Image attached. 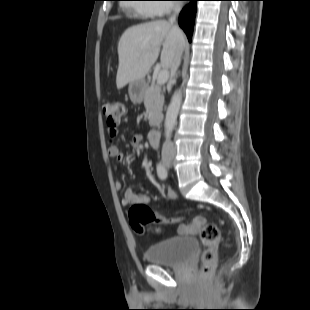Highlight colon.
<instances>
[{"instance_id": "1", "label": "colon", "mask_w": 310, "mask_h": 310, "mask_svg": "<svg viewBox=\"0 0 310 310\" xmlns=\"http://www.w3.org/2000/svg\"><path fill=\"white\" fill-rule=\"evenodd\" d=\"M102 110L107 125L117 127L124 113L123 104L117 101H105ZM179 221L180 218L155 213L143 203H135L129 209V222L137 232H142L143 227L149 223L171 224ZM198 227L205 248L202 254V271L204 275H208L217 262L220 231L215 223L205 222L203 219L198 221Z\"/></svg>"}]
</instances>
